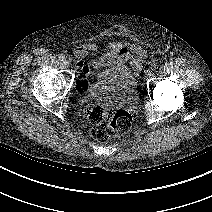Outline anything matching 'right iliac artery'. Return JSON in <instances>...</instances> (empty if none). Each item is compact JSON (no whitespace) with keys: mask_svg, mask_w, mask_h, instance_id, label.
I'll use <instances>...</instances> for the list:
<instances>
[{"mask_svg":"<svg viewBox=\"0 0 212 212\" xmlns=\"http://www.w3.org/2000/svg\"><path fill=\"white\" fill-rule=\"evenodd\" d=\"M59 59H60L61 61H64V60H65V55H64V54H60V55H59Z\"/></svg>","mask_w":212,"mask_h":212,"instance_id":"82829eb1","label":"right iliac artery"}]
</instances>
